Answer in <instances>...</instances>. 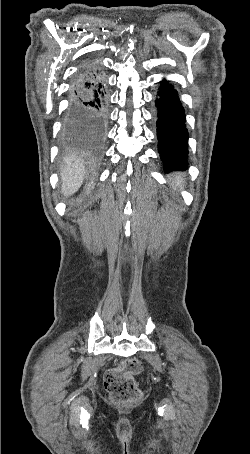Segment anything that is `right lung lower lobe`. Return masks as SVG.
Segmentation results:
<instances>
[{"mask_svg":"<svg viewBox=\"0 0 250 454\" xmlns=\"http://www.w3.org/2000/svg\"><path fill=\"white\" fill-rule=\"evenodd\" d=\"M66 126L82 143L100 147L108 120L107 83L97 60L83 62L69 90Z\"/></svg>","mask_w":250,"mask_h":454,"instance_id":"obj_1","label":"right lung lower lobe"}]
</instances>
